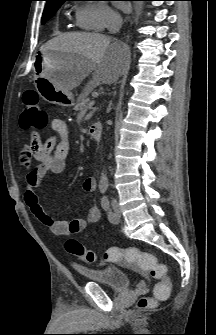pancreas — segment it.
Segmentation results:
<instances>
[{
  "label": "pancreas",
  "mask_w": 216,
  "mask_h": 335,
  "mask_svg": "<svg viewBox=\"0 0 216 335\" xmlns=\"http://www.w3.org/2000/svg\"><path fill=\"white\" fill-rule=\"evenodd\" d=\"M89 85L88 87H90ZM90 91H84L77 99V103L74 107L75 111L83 110V109H88L89 106V100H88V95Z\"/></svg>",
  "instance_id": "pancreas-1"
}]
</instances>
